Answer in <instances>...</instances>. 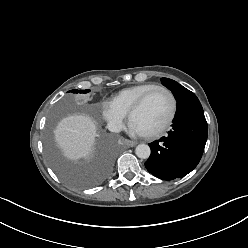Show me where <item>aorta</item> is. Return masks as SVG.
<instances>
[{
    "label": "aorta",
    "mask_w": 248,
    "mask_h": 248,
    "mask_svg": "<svg viewBox=\"0 0 248 248\" xmlns=\"http://www.w3.org/2000/svg\"><path fill=\"white\" fill-rule=\"evenodd\" d=\"M135 153H136L137 157L142 158V159H147L151 154V150H150V147L148 145L139 144V145H137V147L135 149Z\"/></svg>",
    "instance_id": "aorta-1"
}]
</instances>
